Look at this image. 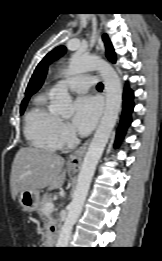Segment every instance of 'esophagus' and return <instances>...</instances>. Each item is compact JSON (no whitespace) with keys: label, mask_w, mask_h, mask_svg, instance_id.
Wrapping results in <instances>:
<instances>
[{"label":"esophagus","mask_w":162,"mask_h":261,"mask_svg":"<svg viewBox=\"0 0 162 261\" xmlns=\"http://www.w3.org/2000/svg\"><path fill=\"white\" fill-rule=\"evenodd\" d=\"M91 139H88L82 146L75 150L72 154L69 155L67 166L73 170H79L82 162V158L86 153V150L90 144Z\"/></svg>","instance_id":"esophagus-1"}]
</instances>
